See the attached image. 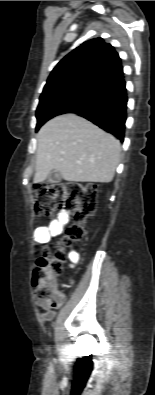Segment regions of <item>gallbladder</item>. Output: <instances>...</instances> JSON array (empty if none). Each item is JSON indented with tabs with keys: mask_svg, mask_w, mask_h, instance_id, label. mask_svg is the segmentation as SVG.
Instances as JSON below:
<instances>
[{
	"mask_svg": "<svg viewBox=\"0 0 155 395\" xmlns=\"http://www.w3.org/2000/svg\"><path fill=\"white\" fill-rule=\"evenodd\" d=\"M62 180V176L59 172L52 170L48 177H47V181L51 184H57Z\"/></svg>",
	"mask_w": 155,
	"mask_h": 395,
	"instance_id": "1",
	"label": "gallbladder"
}]
</instances>
